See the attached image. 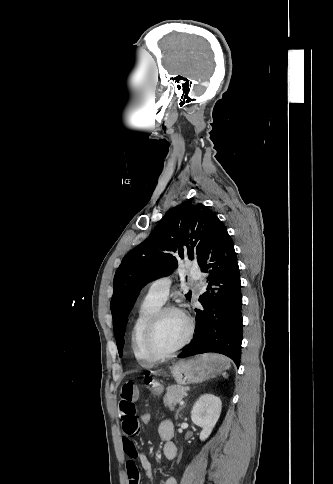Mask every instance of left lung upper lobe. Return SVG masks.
<instances>
[{"label":"left lung upper lobe","mask_w":333,"mask_h":484,"mask_svg":"<svg viewBox=\"0 0 333 484\" xmlns=\"http://www.w3.org/2000/svg\"><path fill=\"white\" fill-rule=\"evenodd\" d=\"M216 215L206 206L190 201L170 209L145 241L123 258L114 276L111 299L113 327L119 354L128 314L145 284L177 267V259L188 255L198 258L202 252L210 224ZM191 298V292L186 294Z\"/></svg>","instance_id":"left-lung-upper-lobe-1"}]
</instances>
